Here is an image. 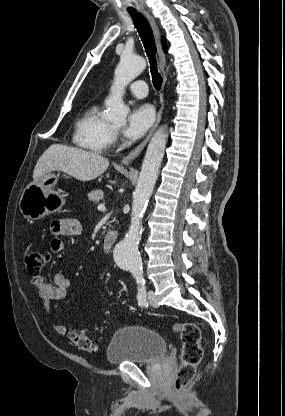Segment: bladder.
<instances>
[{"mask_svg": "<svg viewBox=\"0 0 285 416\" xmlns=\"http://www.w3.org/2000/svg\"><path fill=\"white\" fill-rule=\"evenodd\" d=\"M166 355V338L156 330L140 325L118 328L107 350V359L111 363H153Z\"/></svg>", "mask_w": 285, "mask_h": 416, "instance_id": "1", "label": "bladder"}]
</instances>
